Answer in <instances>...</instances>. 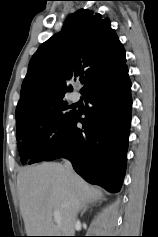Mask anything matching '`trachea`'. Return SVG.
Listing matches in <instances>:
<instances>
[{"label":"trachea","mask_w":158,"mask_h":237,"mask_svg":"<svg viewBox=\"0 0 158 237\" xmlns=\"http://www.w3.org/2000/svg\"><path fill=\"white\" fill-rule=\"evenodd\" d=\"M84 82V80H81V83H83Z\"/></svg>","instance_id":"3493384b"}]
</instances>
